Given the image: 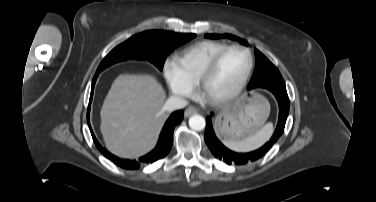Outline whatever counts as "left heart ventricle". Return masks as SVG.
<instances>
[{"label":"left heart ventricle","mask_w":376,"mask_h":202,"mask_svg":"<svg viewBox=\"0 0 376 202\" xmlns=\"http://www.w3.org/2000/svg\"><path fill=\"white\" fill-rule=\"evenodd\" d=\"M247 66L248 56L244 51L240 49L229 51L209 81V92L213 95H221L231 90L241 80Z\"/></svg>","instance_id":"left-heart-ventricle-1"}]
</instances>
